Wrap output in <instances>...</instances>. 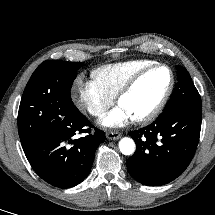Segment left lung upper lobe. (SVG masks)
<instances>
[{"instance_id":"1","label":"left lung upper lobe","mask_w":215,"mask_h":215,"mask_svg":"<svg viewBox=\"0 0 215 215\" xmlns=\"http://www.w3.org/2000/svg\"><path fill=\"white\" fill-rule=\"evenodd\" d=\"M177 81L174 92L163 112L173 109L202 112L201 97L184 67L177 66Z\"/></svg>"}]
</instances>
